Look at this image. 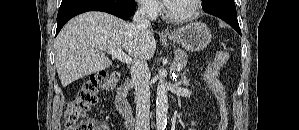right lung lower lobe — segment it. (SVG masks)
<instances>
[{"mask_svg":"<svg viewBox=\"0 0 299 130\" xmlns=\"http://www.w3.org/2000/svg\"><path fill=\"white\" fill-rule=\"evenodd\" d=\"M135 0H62L57 15L56 35L72 17L87 11H103L127 20L133 14Z\"/></svg>","mask_w":299,"mask_h":130,"instance_id":"1","label":"right lung lower lobe"}]
</instances>
